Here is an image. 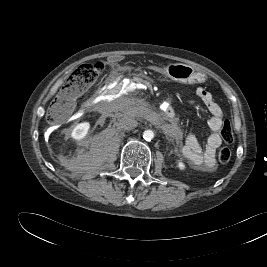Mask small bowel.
<instances>
[{
	"label": "small bowel",
	"instance_id": "obj_1",
	"mask_svg": "<svg viewBox=\"0 0 267 267\" xmlns=\"http://www.w3.org/2000/svg\"><path fill=\"white\" fill-rule=\"evenodd\" d=\"M195 95L211 116L208 125L212 133L209 135L204 147L200 145L194 135H188L185 144L181 148V153L191 165L206 170H212L216 165V151L222 144L219 130L223 124V111L206 88L198 87L195 90Z\"/></svg>",
	"mask_w": 267,
	"mask_h": 267
}]
</instances>
